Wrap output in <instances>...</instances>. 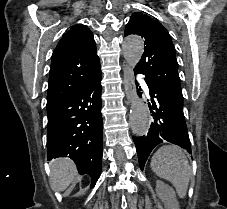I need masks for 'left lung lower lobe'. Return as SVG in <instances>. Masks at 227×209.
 Masks as SVG:
<instances>
[{
  "label": "left lung lower lobe",
  "mask_w": 227,
  "mask_h": 209,
  "mask_svg": "<svg viewBox=\"0 0 227 209\" xmlns=\"http://www.w3.org/2000/svg\"><path fill=\"white\" fill-rule=\"evenodd\" d=\"M152 97V112L154 122L151 124L147 135L133 137L141 170L151 151L158 144L170 142L191 153V144L183 114V100L169 96L163 91L149 87Z\"/></svg>",
  "instance_id": "left-lung-lower-lobe-1"
}]
</instances>
